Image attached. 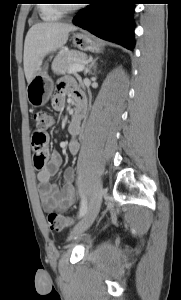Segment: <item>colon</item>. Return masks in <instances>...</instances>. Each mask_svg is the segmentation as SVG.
Masks as SVG:
<instances>
[{
    "instance_id": "1",
    "label": "colon",
    "mask_w": 181,
    "mask_h": 300,
    "mask_svg": "<svg viewBox=\"0 0 181 300\" xmlns=\"http://www.w3.org/2000/svg\"><path fill=\"white\" fill-rule=\"evenodd\" d=\"M54 115L46 111H37L33 115L34 130L32 134V148L34 151V161L36 167L40 168L44 164V149L48 142V136L45 130L54 124ZM47 222L50 229L61 231L68 228L72 224V220L57 212H50L47 215Z\"/></svg>"
}]
</instances>
